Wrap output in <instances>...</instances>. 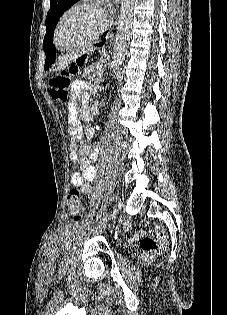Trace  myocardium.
<instances>
[{"label":"myocardium","instance_id":"f54148a6","mask_svg":"<svg viewBox=\"0 0 227 315\" xmlns=\"http://www.w3.org/2000/svg\"><path fill=\"white\" fill-rule=\"evenodd\" d=\"M80 8H93V9L98 10L103 16L102 24L92 35L88 36L87 38L82 39V40H80L74 44H71V45H67V46L60 45L58 42V35H59L60 28L62 26L64 19L72 11H74L76 9H80ZM108 24H109V17L98 0H81L77 3L72 4L67 9H65L63 11V13L60 15V17L58 18L57 23H56L55 28H54V32H53V39H52L53 44L57 49H59L61 51H67V50H72L75 48L82 47V46L89 44L92 41L96 40L98 37H100L102 35V33L106 30Z\"/></svg>","mask_w":227,"mask_h":315}]
</instances>
